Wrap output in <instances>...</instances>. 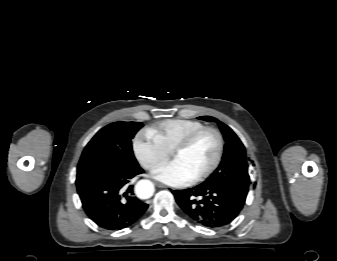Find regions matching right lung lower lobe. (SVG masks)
<instances>
[{
	"label": "right lung lower lobe",
	"mask_w": 337,
	"mask_h": 261,
	"mask_svg": "<svg viewBox=\"0 0 337 261\" xmlns=\"http://www.w3.org/2000/svg\"><path fill=\"white\" fill-rule=\"evenodd\" d=\"M142 173L144 170L137 166L78 184L77 191L88 217L107 230H120L134 224L148 205L134 196L129 182Z\"/></svg>",
	"instance_id": "obj_1"
}]
</instances>
